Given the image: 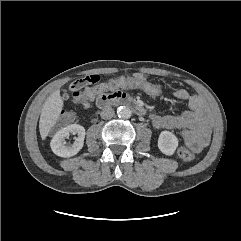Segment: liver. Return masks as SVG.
<instances>
[{
  "mask_svg": "<svg viewBox=\"0 0 241 241\" xmlns=\"http://www.w3.org/2000/svg\"><path fill=\"white\" fill-rule=\"evenodd\" d=\"M63 105L64 102L60 96L59 90L53 92L45 101L39 120V131L42 140L48 136L51 128L56 124Z\"/></svg>",
  "mask_w": 241,
  "mask_h": 241,
  "instance_id": "6515ba94",
  "label": "liver"
}]
</instances>
